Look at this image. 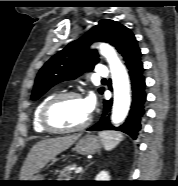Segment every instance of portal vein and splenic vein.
<instances>
[{"instance_id":"portal-vein-and-splenic-vein-1","label":"portal vein and splenic vein","mask_w":178,"mask_h":186,"mask_svg":"<svg viewBox=\"0 0 178 186\" xmlns=\"http://www.w3.org/2000/svg\"><path fill=\"white\" fill-rule=\"evenodd\" d=\"M82 167H78L76 170H75V173L76 174H79V173H81L82 172Z\"/></svg>"}]
</instances>
